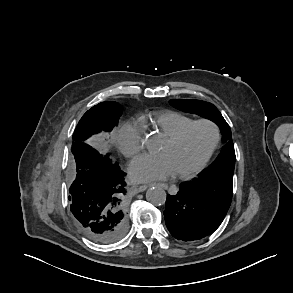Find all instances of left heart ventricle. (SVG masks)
<instances>
[{
    "instance_id": "b2bd125f",
    "label": "left heart ventricle",
    "mask_w": 293,
    "mask_h": 293,
    "mask_svg": "<svg viewBox=\"0 0 293 293\" xmlns=\"http://www.w3.org/2000/svg\"><path fill=\"white\" fill-rule=\"evenodd\" d=\"M214 133L207 125L192 127L179 141L164 140L159 153L170 160L175 173L191 170L202 159L213 141Z\"/></svg>"
}]
</instances>
